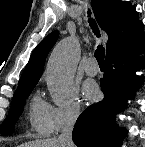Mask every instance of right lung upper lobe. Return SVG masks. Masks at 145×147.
Listing matches in <instances>:
<instances>
[{"mask_svg":"<svg viewBox=\"0 0 145 147\" xmlns=\"http://www.w3.org/2000/svg\"><path fill=\"white\" fill-rule=\"evenodd\" d=\"M92 8L101 29L108 34L107 52L142 24L134 6L131 7L127 1L92 0ZM57 38L58 32L54 31L34 49L21 75L17 90L35 86L38 83L47 54Z\"/></svg>","mask_w":145,"mask_h":147,"instance_id":"cb5924a9","label":"right lung upper lobe"}]
</instances>
